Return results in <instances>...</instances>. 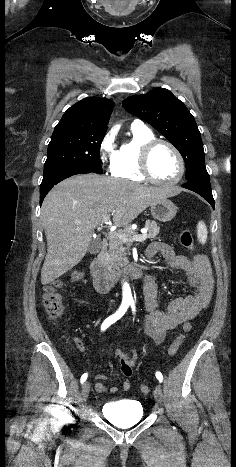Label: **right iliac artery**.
<instances>
[{
  "mask_svg": "<svg viewBox=\"0 0 236 467\" xmlns=\"http://www.w3.org/2000/svg\"><path fill=\"white\" fill-rule=\"evenodd\" d=\"M128 307H129V303L123 302L121 306L119 307V309L114 314H112L111 316H109L108 318L104 320V322L101 325V331H105L111 324L119 320L126 313ZM87 377H88V374L84 373L80 379L81 383H84Z\"/></svg>",
  "mask_w": 236,
  "mask_h": 467,
  "instance_id": "obj_1",
  "label": "right iliac artery"
}]
</instances>
